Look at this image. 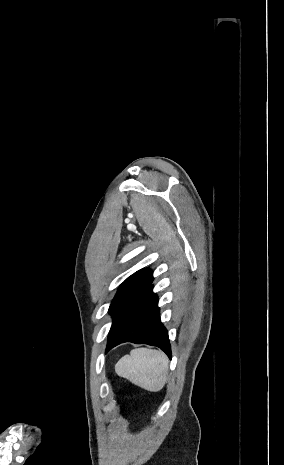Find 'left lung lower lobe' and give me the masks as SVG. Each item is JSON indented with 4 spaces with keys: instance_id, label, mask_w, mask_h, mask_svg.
<instances>
[{
    "instance_id": "0a47b994",
    "label": "left lung lower lobe",
    "mask_w": 284,
    "mask_h": 465,
    "mask_svg": "<svg viewBox=\"0 0 284 465\" xmlns=\"http://www.w3.org/2000/svg\"><path fill=\"white\" fill-rule=\"evenodd\" d=\"M149 285L119 313L108 334L106 353L124 343L159 347L171 358L168 332L160 321L158 298Z\"/></svg>"
}]
</instances>
